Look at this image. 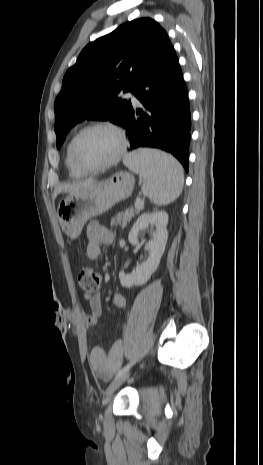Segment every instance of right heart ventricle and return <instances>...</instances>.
Returning a JSON list of instances; mask_svg holds the SVG:
<instances>
[{
    "label": "right heart ventricle",
    "instance_id": "right-heart-ventricle-1",
    "mask_svg": "<svg viewBox=\"0 0 263 465\" xmlns=\"http://www.w3.org/2000/svg\"><path fill=\"white\" fill-rule=\"evenodd\" d=\"M71 141L72 139L68 142L66 146L65 165H66V168L68 170L70 177L78 179V178H82L85 175V173L79 171L72 162L71 153H70Z\"/></svg>",
    "mask_w": 263,
    "mask_h": 465
}]
</instances>
